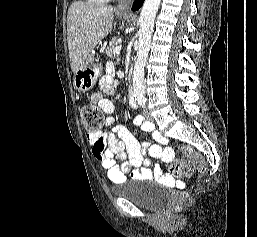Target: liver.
<instances>
[{
    "mask_svg": "<svg viewBox=\"0 0 257 237\" xmlns=\"http://www.w3.org/2000/svg\"><path fill=\"white\" fill-rule=\"evenodd\" d=\"M112 6L81 1L70 5L67 38L72 72L75 74L96 45L112 30Z\"/></svg>",
    "mask_w": 257,
    "mask_h": 237,
    "instance_id": "liver-1",
    "label": "liver"
}]
</instances>
